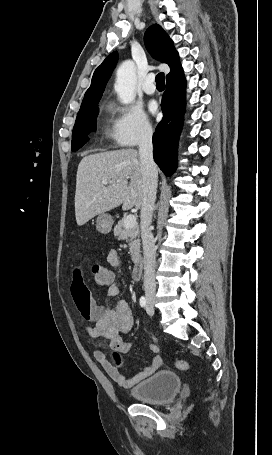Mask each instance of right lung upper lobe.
<instances>
[{
	"label": "right lung upper lobe",
	"mask_w": 272,
	"mask_h": 455,
	"mask_svg": "<svg viewBox=\"0 0 272 455\" xmlns=\"http://www.w3.org/2000/svg\"><path fill=\"white\" fill-rule=\"evenodd\" d=\"M144 42L147 50L150 51L153 57L169 65L170 72L166 76L167 80L183 73L178 52L172 40L160 25L155 24L147 29ZM117 60L118 54L117 52H113L95 70L91 85L85 93L80 109L90 107L99 102Z\"/></svg>",
	"instance_id": "1"
}]
</instances>
